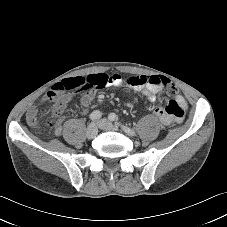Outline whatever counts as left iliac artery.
Wrapping results in <instances>:
<instances>
[{"label":"left iliac artery","mask_w":227,"mask_h":227,"mask_svg":"<svg viewBox=\"0 0 227 227\" xmlns=\"http://www.w3.org/2000/svg\"><path fill=\"white\" fill-rule=\"evenodd\" d=\"M108 118H109L110 121L115 122V124H116L117 126H120L121 129H122L125 133H127L128 135H131V136H135V135H136V133H135V131H134L133 129L127 127L126 125L122 124V123L119 121V119H118V117H117V115H116L115 113H110L109 116H108Z\"/></svg>","instance_id":"1"}]
</instances>
